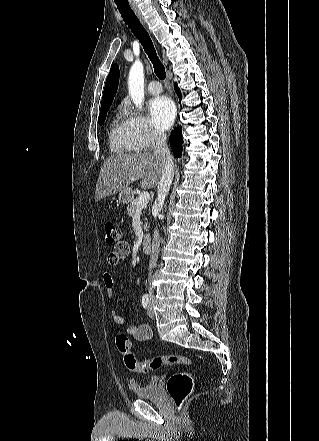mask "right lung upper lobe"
Returning <instances> with one entry per match:
<instances>
[{"mask_svg": "<svg viewBox=\"0 0 319 441\" xmlns=\"http://www.w3.org/2000/svg\"><path fill=\"white\" fill-rule=\"evenodd\" d=\"M118 83H119V66L118 64H114L110 69V73L105 83L101 109L105 107H110V105L112 104L114 96L117 92Z\"/></svg>", "mask_w": 319, "mask_h": 441, "instance_id": "obj_1", "label": "right lung upper lobe"}]
</instances>
